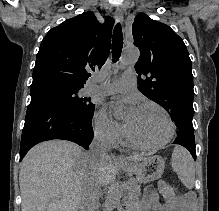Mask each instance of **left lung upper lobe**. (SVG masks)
Here are the masks:
<instances>
[{
    "label": "left lung upper lobe",
    "instance_id": "obj_1",
    "mask_svg": "<svg viewBox=\"0 0 219 211\" xmlns=\"http://www.w3.org/2000/svg\"><path fill=\"white\" fill-rule=\"evenodd\" d=\"M134 44L140 49L135 64L138 89L161 105L173 118L178 134L193 133V75L183 40L166 24L140 13L132 25Z\"/></svg>",
    "mask_w": 219,
    "mask_h": 211
}]
</instances>
